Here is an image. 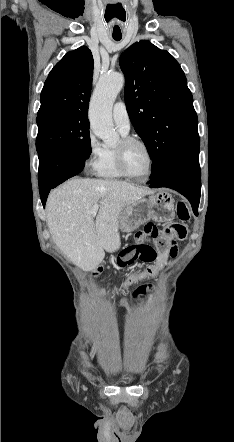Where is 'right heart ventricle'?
Instances as JSON below:
<instances>
[{"instance_id":"obj_1","label":"right heart ventricle","mask_w":234,"mask_h":442,"mask_svg":"<svg viewBox=\"0 0 234 442\" xmlns=\"http://www.w3.org/2000/svg\"><path fill=\"white\" fill-rule=\"evenodd\" d=\"M96 173L99 177L104 179L118 180L124 178L123 174L117 167L114 148L104 147L103 156Z\"/></svg>"}]
</instances>
